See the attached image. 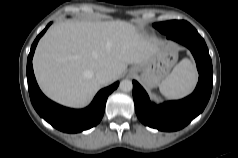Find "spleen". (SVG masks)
Instances as JSON below:
<instances>
[{"mask_svg": "<svg viewBox=\"0 0 238 158\" xmlns=\"http://www.w3.org/2000/svg\"><path fill=\"white\" fill-rule=\"evenodd\" d=\"M197 81L195 66L189 59H183L172 72L159 84L161 94L170 99L188 95Z\"/></svg>", "mask_w": 238, "mask_h": 158, "instance_id": "spleen-1", "label": "spleen"}]
</instances>
